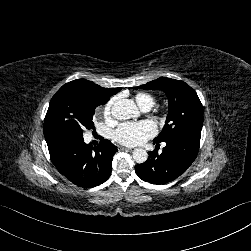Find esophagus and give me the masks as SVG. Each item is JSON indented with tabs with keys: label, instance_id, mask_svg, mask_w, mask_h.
<instances>
[{
	"label": "esophagus",
	"instance_id": "obj_1",
	"mask_svg": "<svg viewBox=\"0 0 251 251\" xmlns=\"http://www.w3.org/2000/svg\"><path fill=\"white\" fill-rule=\"evenodd\" d=\"M118 149H119L120 151L131 150V148L125 147V146H122V145H119V146H118Z\"/></svg>",
	"mask_w": 251,
	"mask_h": 251
}]
</instances>
